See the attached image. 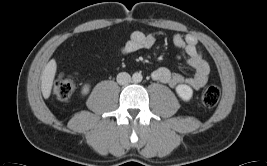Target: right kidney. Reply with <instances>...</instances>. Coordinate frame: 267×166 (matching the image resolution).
Returning <instances> with one entry per match:
<instances>
[{
  "mask_svg": "<svg viewBox=\"0 0 267 166\" xmlns=\"http://www.w3.org/2000/svg\"><path fill=\"white\" fill-rule=\"evenodd\" d=\"M90 86L88 84H85L82 88V94L85 95L89 92Z\"/></svg>",
  "mask_w": 267,
  "mask_h": 166,
  "instance_id": "obj_1",
  "label": "right kidney"
}]
</instances>
